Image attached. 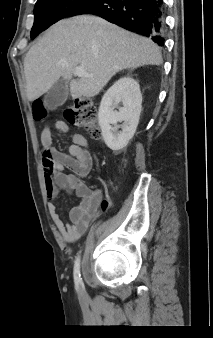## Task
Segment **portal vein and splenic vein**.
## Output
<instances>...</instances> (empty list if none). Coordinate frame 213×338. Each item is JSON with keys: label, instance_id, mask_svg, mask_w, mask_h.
<instances>
[{"label": "portal vein and splenic vein", "instance_id": "1", "mask_svg": "<svg viewBox=\"0 0 213 338\" xmlns=\"http://www.w3.org/2000/svg\"><path fill=\"white\" fill-rule=\"evenodd\" d=\"M74 74L78 77H93L92 74H88L83 67H76L74 70Z\"/></svg>", "mask_w": 213, "mask_h": 338}]
</instances>
